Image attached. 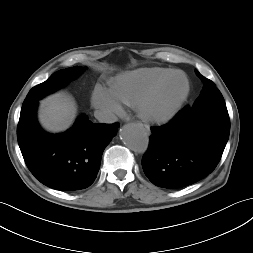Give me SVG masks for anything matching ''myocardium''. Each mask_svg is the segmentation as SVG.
I'll return each mask as SVG.
<instances>
[{
    "mask_svg": "<svg viewBox=\"0 0 253 253\" xmlns=\"http://www.w3.org/2000/svg\"><path fill=\"white\" fill-rule=\"evenodd\" d=\"M182 77L185 80L184 91L180 96L172 102L166 109L157 110L155 108L156 102L164 91V89L176 78ZM190 92V82L186 74L181 71H175L157 85H155L140 101L138 107L141 116L153 123H165L170 121L180 110L184 102L186 101Z\"/></svg>",
    "mask_w": 253,
    "mask_h": 253,
    "instance_id": "f54148a6",
    "label": "myocardium"
}]
</instances>
